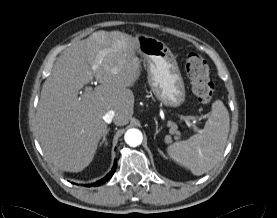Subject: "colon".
Wrapping results in <instances>:
<instances>
[{"label": "colon", "instance_id": "1", "mask_svg": "<svg viewBox=\"0 0 277 218\" xmlns=\"http://www.w3.org/2000/svg\"><path fill=\"white\" fill-rule=\"evenodd\" d=\"M185 67L194 95L200 102L209 103L214 95V84L206 60L197 53H190Z\"/></svg>", "mask_w": 277, "mask_h": 218}]
</instances>
